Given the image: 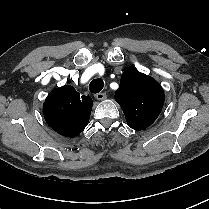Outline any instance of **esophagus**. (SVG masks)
Masks as SVG:
<instances>
[{
    "instance_id": "obj_1",
    "label": "esophagus",
    "mask_w": 209,
    "mask_h": 209,
    "mask_svg": "<svg viewBox=\"0 0 209 209\" xmlns=\"http://www.w3.org/2000/svg\"><path fill=\"white\" fill-rule=\"evenodd\" d=\"M106 97H107V94L105 92H100V93L95 94V98L97 100H104L106 99Z\"/></svg>"
}]
</instances>
